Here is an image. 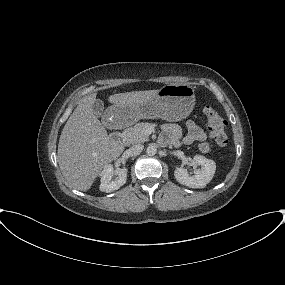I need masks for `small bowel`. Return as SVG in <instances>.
Segmentation results:
<instances>
[{
	"instance_id": "obj_1",
	"label": "small bowel",
	"mask_w": 285,
	"mask_h": 285,
	"mask_svg": "<svg viewBox=\"0 0 285 285\" xmlns=\"http://www.w3.org/2000/svg\"><path fill=\"white\" fill-rule=\"evenodd\" d=\"M187 133L183 143L192 144L196 141H204L207 138L206 132L194 121L186 123ZM162 142L178 147L181 144V128L175 123H166L162 127Z\"/></svg>"
}]
</instances>
